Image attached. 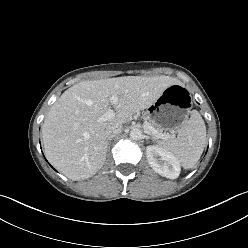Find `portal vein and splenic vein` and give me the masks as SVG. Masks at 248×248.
Wrapping results in <instances>:
<instances>
[{"label": "portal vein and splenic vein", "instance_id": "portal-vein-and-splenic-vein-1", "mask_svg": "<svg viewBox=\"0 0 248 248\" xmlns=\"http://www.w3.org/2000/svg\"><path fill=\"white\" fill-rule=\"evenodd\" d=\"M110 101L112 104H116L118 102V97L113 95L110 97ZM115 116V113L113 111V109H111L110 107L106 110L105 114L102 115L100 117V120L101 121H105V120H108V119H111ZM145 126L146 128L153 134H157V137L158 138H162V139H166L168 138V135L166 134H161V133H158L152 126H150V124L148 122H145Z\"/></svg>", "mask_w": 248, "mask_h": 248}]
</instances>
